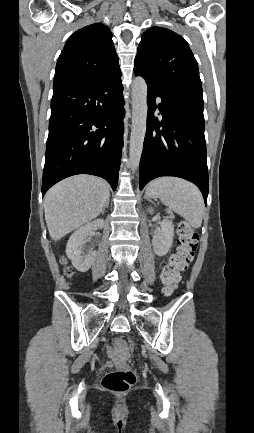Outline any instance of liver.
<instances>
[{"label": "liver", "instance_id": "6515ba94", "mask_svg": "<svg viewBox=\"0 0 254 433\" xmlns=\"http://www.w3.org/2000/svg\"><path fill=\"white\" fill-rule=\"evenodd\" d=\"M109 197L107 183L98 177L77 175L54 185L45 196V220L57 241L96 218Z\"/></svg>", "mask_w": 254, "mask_h": 433}]
</instances>
